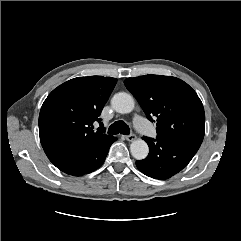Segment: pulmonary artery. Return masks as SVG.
I'll use <instances>...</instances> for the list:
<instances>
[{
    "mask_svg": "<svg viewBox=\"0 0 241 241\" xmlns=\"http://www.w3.org/2000/svg\"><path fill=\"white\" fill-rule=\"evenodd\" d=\"M134 123H135V126L141 130V131H144V132H147L148 134L150 135H154L153 132H151L148 128V126L145 124L144 120L140 117H136L134 119Z\"/></svg>",
    "mask_w": 241,
    "mask_h": 241,
    "instance_id": "e3ab8cb5",
    "label": "pulmonary artery"
}]
</instances>
